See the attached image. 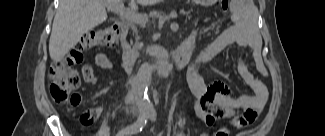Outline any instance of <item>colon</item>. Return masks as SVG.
<instances>
[{
    "label": "colon",
    "instance_id": "1",
    "mask_svg": "<svg viewBox=\"0 0 325 136\" xmlns=\"http://www.w3.org/2000/svg\"><path fill=\"white\" fill-rule=\"evenodd\" d=\"M222 8L227 11L229 0H222ZM119 37V31L115 25H107L97 28L85 34L75 46L77 51L91 50L101 47H113ZM80 76L78 71L71 68L65 60H57L49 69V91L51 97L57 103L77 104L79 97L75 91L79 87ZM201 136H209L207 133Z\"/></svg>",
    "mask_w": 325,
    "mask_h": 136
}]
</instances>
